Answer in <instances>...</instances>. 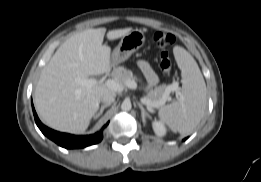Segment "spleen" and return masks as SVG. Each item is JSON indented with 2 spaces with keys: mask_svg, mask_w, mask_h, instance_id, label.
<instances>
[{
  "mask_svg": "<svg viewBox=\"0 0 261 182\" xmlns=\"http://www.w3.org/2000/svg\"><path fill=\"white\" fill-rule=\"evenodd\" d=\"M174 56L181 70V97L179 101L161 107L158 115L173 132L187 135L194 131L204 116L207 104L206 84L190 53L176 46Z\"/></svg>",
  "mask_w": 261,
  "mask_h": 182,
  "instance_id": "1",
  "label": "spleen"
}]
</instances>
